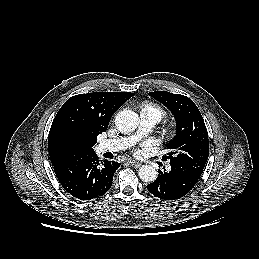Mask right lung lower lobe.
<instances>
[{
  "label": "right lung lower lobe",
  "instance_id": "1",
  "mask_svg": "<svg viewBox=\"0 0 259 259\" xmlns=\"http://www.w3.org/2000/svg\"><path fill=\"white\" fill-rule=\"evenodd\" d=\"M98 160L95 152L68 156L52 163L62 187L80 200H90L106 193L120 164Z\"/></svg>",
  "mask_w": 259,
  "mask_h": 259
}]
</instances>
